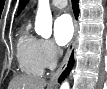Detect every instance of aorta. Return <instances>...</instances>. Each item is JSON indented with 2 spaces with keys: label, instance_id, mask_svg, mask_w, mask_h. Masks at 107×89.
<instances>
[{
  "label": "aorta",
  "instance_id": "1",
  "mask_svg": "<svg viewBox=\"0 0 107 89\" xmlns=\"http://www.w3.org/2000/svg\"><path fill=\"white\" fill-rule=\"evenodd\" d=\"M35 32L44 38H49L52 34V14L49 0L38 1V10L35 20ZM60 89H69V83L64 81Z\"/></svg>",
  "mask_w": 107,
  "mask_h": 89
}]
</instances>
